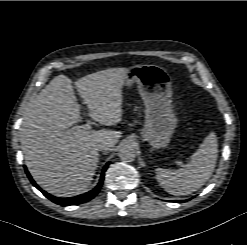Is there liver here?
Instances as JSON below:
<instances>
[{
  "label": "liver",
  "instance_id": "obj_1",
  "mask_svg": "<svg viewBox=\"0 0 247 245\" xmlns=\"http://www.w3.org/2000/svg\"><path fill=\"white\" fill-rule=\"evenodd\" d=\"M126 68H109L75 82L93 120L105 126L122 118V88ZM80 110L72 81L54 77L29 104L20 128L25 164L36 183L50 194L70 197L90 186L99 162V145L111 149L121 137L115 130L69 129L79 122Z\"/></svg>",
  "mask_w": 247,
  "mask_h": 245
}]
</instances>
